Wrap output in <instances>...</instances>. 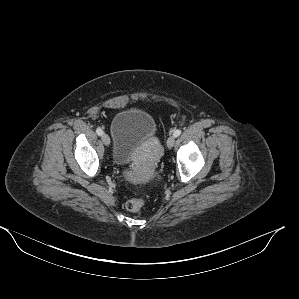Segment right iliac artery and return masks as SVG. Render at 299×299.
<instances>
[{"mask_svg":"<svg viewBox=\"0 0 299 299\" xmlns=\"http://www.w3.org/2000/svg\"><path fill=\"white\" fill-rule=\"evenodd\" d=\"M96 133H97L99 136H101V135L103 134V131H102V129L97 128V129H96Z\"/></svg>","mask_w":299,"mask_h":299,"instance_id":"obj_1","label":"right iliac artery"}]
</instances>
